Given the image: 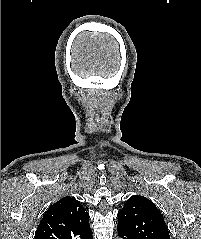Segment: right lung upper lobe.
<instances>
[{
    "mask_svg": "<svg viewBox=\"0 0 201 239\" xmlns=\"http://www.w3.org/2000/svg\"><path fill=\"white\" fill-rule=\"evenodd\" d=\"M35 239H92L89 213L75 197H64L45 212Z\"/></svg>",
    "mask_w": 201,
    "mask_h": 239,
    "instance_id": "1",
    "label": "right lung upper lobe"
}]
</instances>
